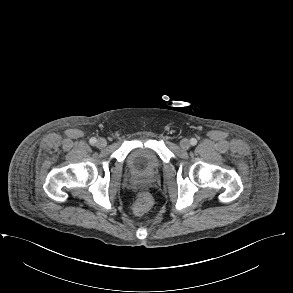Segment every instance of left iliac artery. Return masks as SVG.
<instances>
[{
    "instance_id": "1",
    "label": "left iliac artery",
    "mask_w": 293,
    "mask_h": 293,
    "mask_svg": "<svg viewBox=\"0 0 293 293\" xmlns=\"http://www.w3.org/2000/svg\"><path fill=\"white\" fill-rule=\"evenodd\" d=\"M190 143H191V145H196L197 144V140L195 139V138H192L191 140H190Z\"/></svg>"
}]
</instances>
